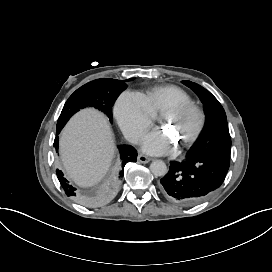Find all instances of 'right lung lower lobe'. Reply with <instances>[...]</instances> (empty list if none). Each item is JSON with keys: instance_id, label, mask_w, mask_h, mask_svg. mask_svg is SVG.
Masks as SVG:
<instances>
[{"instance_id": "right-lung-lower-lobe-1", "label": "right lung lower lobe", "mask_w": 272, "mask_h": 272, "mask_svg": "<svg viewBox=\"0 0 272 272\" xmlns=\"http://www.w3.org/2000/svg\"><path fill=\"white\" fill-rule=\"evenodd\" d=\"M61 129H56V138L54 141L56 151H58V134L60 133ZM118 148L120 154L118 168L114 170L111 178L107 180L98 191L79 196V199L84 205L89 207L102 206L113 198L119 191L123 180L124 167L126 164L135 162L137 160V151L134 147L129 145H120ZM56 173L66 195L76 197V188L69 184L62 171L57 170Z\"/></svg>"}]
</instances>
